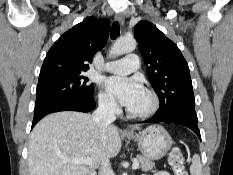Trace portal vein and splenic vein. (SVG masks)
Masks as SVG:
<instances>
[{
    "instance_id": "obj_1",
    "label": "portal vein and splenic vein",
    "mask_w": 233,
    "mask_h": 175,
    "mask_svg": "<svg viewBox=\"0 0 233 175\" xmlns=\"http://www.w3.org/2000/svg\"><path fill=\"white\" fill-rule=\"evenodd\" d=\"M68 161L71 163L84 164V165H88V166L93 165V159H91V158H73V159H70ZM138 167H139V162L134 161L132 168L137 169Z\"/></svg>"
}]
</instances>
